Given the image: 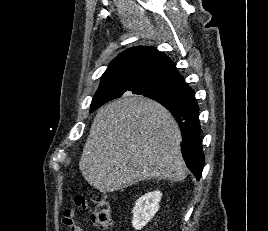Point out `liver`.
Segmentation results:
<instances>
[{"label":"liver","instance_id":"6515ba94","mask_svg":"<svg viewBox=\"0 0 268 231\" xmlns=\"http://www.w3.org/2000/svg\"><path fill=\"white\" fill-rule=\"evenodd\" d=\"M181 132L161 104L132 94L101 107L91 125L79 169L100 192L139 181L187 176Z\"/></svg>","mask_w":268,"mask_h":231}]
</instances>
